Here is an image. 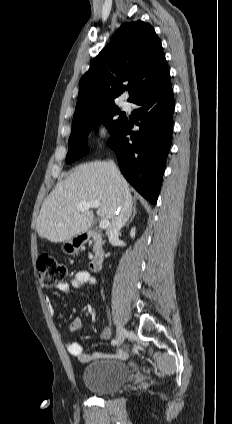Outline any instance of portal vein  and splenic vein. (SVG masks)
Instances as JSON below:
<instances>
[{
	"label": "portal vein and splenic vein",
	"instance_id": "portal-vein-and-splenic-vein-1",
	"mask_svg": "<svg viewBox=\"0 0 232 424\" xmlns=\"http://www.w3.org/2000/svg\"><path fill=\"white\" fill-rule=\"evenodd\" d=\"M100 206V201L94 200L89 202H82L77 205L76 209L78 211H85L90 208H98ZM110 226L109 220L103 219L99 223V227L102 229H107Z\"/></svg>",
	"mask_w": 232,
	"mask_h": 424
}]
</instances>
